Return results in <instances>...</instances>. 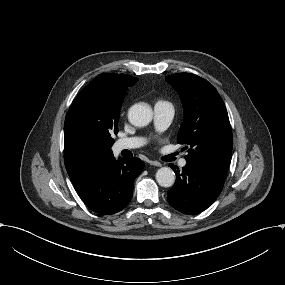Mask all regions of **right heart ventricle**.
Here are the masks:
<instances>
[{"label":"right heart ventricle","mask_w":285,"mask_h":285,"mask_svg":"<svg viewBox=\"0 0 285 285\" xmlns=\"http://www.w3.org/2000/svg\"><path fill=\"white\" fill-rule=\"evenodd\" d=\"M160 102H165V100L161 99V98H158L157 99V103H160Z\"/></svg>","instance_id":"e07e8e85"}]
</instances>
